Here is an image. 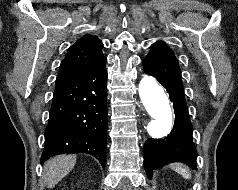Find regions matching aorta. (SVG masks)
<instances>
[{"instance_id":"aorta-1","label":"aorta","mask_w":238,"mask_h":190,"mask_svg":"<svg viewBox=\"0 0 238 190\" xmlns=\"http://www.w3.org/2000/svg\"><path fill=\"white\" fill-rule=\"evenodd\" d=\"M140 99L151 117L147 131L154 139L166 136L172 127L173 112L165 90L155 78L145 76L139 83Z\"/></svg>"}]
</instances>
